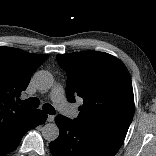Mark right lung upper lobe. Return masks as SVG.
<instances>
[{
  "instance_id": "right-lung-upper-lobe-1",
  "label": "right lung upper lobe",
  "mask_w": 156,
  "mask_h": 156,
  "mask_svg": "<svg viewBox=\"0 0 156 156\" xmlns=\"http://www.w3.org/2000/svg\"><path fill=\"white\" fill-rule=\"evenodd\" d=\"M48 56L0 46V123L32 110L18 105L15 99L27 88L31 75Z\"/></svg>"
}]
</instances>
